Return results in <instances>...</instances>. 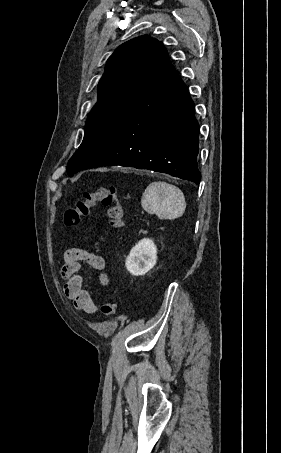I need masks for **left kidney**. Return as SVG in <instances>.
<instances>
[{
    "label": "left kidney",
    "mask_w": 281,
    "mask_h": 453,
    "mask_svg": "<svg viewBox=\"0 0 281 453\" xmlns=\"http://www.w3.org/2000/svg\"><path fill=\"white\" fill-rule=\"evenodd\" d=\"M157 249L151 239H142L129 253L126 259V269L131 275H146L153 269L157 261Z\"/></svg>",
    "instance_id": "5707ae66"
}]
</instances>
